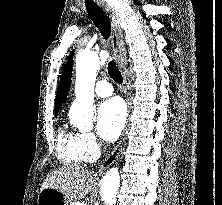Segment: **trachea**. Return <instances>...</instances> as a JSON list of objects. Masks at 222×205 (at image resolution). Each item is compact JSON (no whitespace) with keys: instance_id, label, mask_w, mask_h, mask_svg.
Listing matches in <instances>:
<instances>
[{"instance_id":"3493384b","label":"trachea","mask_w":222,"mask_h":205,"mask_svg":"<svg viewBox=\"0 0 222 205\" xmlns=\"http://www.w3.org/2000/svg\"><path fill=\"white\" fill-rule=\"evenodd\" d=\"M86 10L88 12L89 17L93 21L94 25L98 28L101 35L105 40L110 37L111 33V26L110 21L106 14L99 8L93 6H86ZM108 74L109 76L117 83L121 84L123 82V77L121 72L119 71L116 62L111 60L108 63Z\"/></svg>"}]
</instances>
